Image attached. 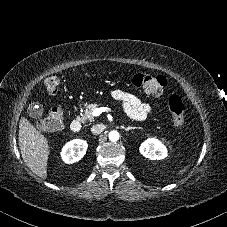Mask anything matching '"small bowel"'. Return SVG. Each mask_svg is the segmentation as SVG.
Returning a JSON list of instances; mask_svg holds the SVG:
<instances>
[{"instance_id":"c3829d8e","label":"small bowel","mask_w":227,"mask_h":227,"mask_svg":"<svg viewBox=\"0 0 227 227\" xmlns=\"http://www.w3.org/2000/svg\"><path fill=\"white\" fill-rule=\"evenodd\" d=\"M112 97L121 102L124 111L130 118L137 121L144 120L152 110L149 103L143 102L140 98L119 89L112 92Z\"/></svg>"}]
</instances>
